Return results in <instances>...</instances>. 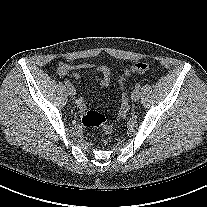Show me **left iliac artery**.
Instances as JSON below:
<instances>
[{
  "label": "left iliac artery",
  "instance_id": "obj_1",
  "mask_svg": "<svg viewBox=\"0 0 207 207\" xmlns=\"http://www.w3.org/2000/svg\"><path fill=\"white\" fill-rule=\"evenodd\" d=\"M140 87H141L140 84H136V85H135V88H136V89H140Z\"/></svg>",
  "mask_w": 207,
  "mask_h": 207
}]
</instances>
